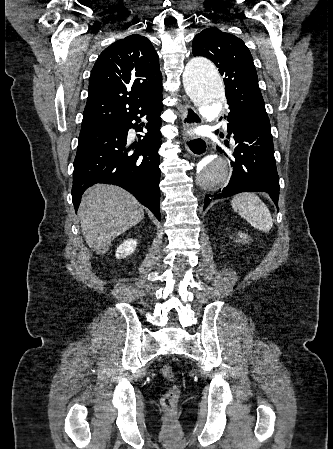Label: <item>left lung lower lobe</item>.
Segmentation results:
<instances>
[{
	"label": "left lung lower lobe",
	"mask_w": 333,
	"mask_h": 449,
	"mask_svg": "<svg viewBox=\"0 0 333 449\" xmlns=\"http://www.w3.org/2000/svg\"><path fill=\"white\" fill-rule=\"evenodd\" d=\"M228 136L233 134L235 150L231 158L233 173L228 185L212 195H206L204 209L216 200L240 192H266L276 206L279 198V176L274 158L271 126L246 117L230 108ZM218 151H222L217 147Z\"/></svg>",
	"instance_id": "1"
}]
</instances>
